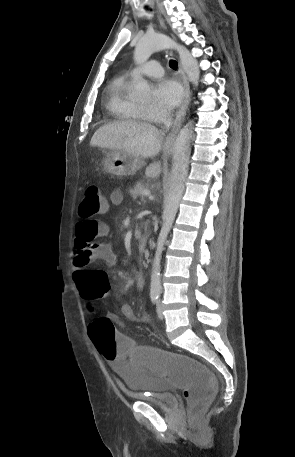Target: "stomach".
I'll return each mask as SVG.
<instances>
[{
    "mask_svg": "<svg viewBox=\"0 0 295 457\" xmlns=\"http://www.w3.org/2000/svg\"><path fill=\"white\" fill-rule=\"evenodd\" d=\"M143 162L124 151L110 150L105 152L104 169L106 172L117 176L135 174Z\"/></svg>",
    "mask_w": 295,
    "mask_h": 457,
    "instance_id": "stomach-1",
    "label": "stomach"
}]
</instances>
